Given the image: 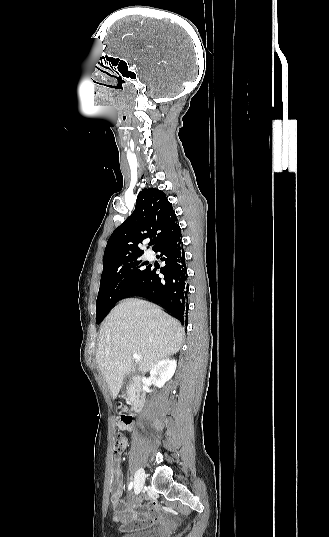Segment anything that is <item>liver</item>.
<instances>
[{
  "mask_svg": "<svg viewBox=\"0 0 329 537\" xmlns=\"http://www.w3.org/2000/svg\"><path fill=\"white\" fill-rule=\"evenodd\" d=\"M185 335L181 324L160 307L139 299H126L114 307L101 325L96 361L113 399L124 376L134 367L145 374L159 361L176 354Z\"/></svg>",
  "mask_w": 329,
  "mask_h": 537,
  "instance_id": "liver-1",
  "label": "liver"
}]
</instances>
